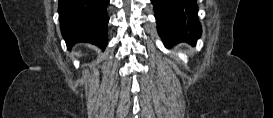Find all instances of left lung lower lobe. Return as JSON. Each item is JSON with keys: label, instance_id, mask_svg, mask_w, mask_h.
<instances>
[{"label": "left lung lower lobe", "instance_id": "0a47b994", "mask_svg": "<svg viewBox=\"0 0 273 118\" xmlns=\"http://www.w3.org/2000/svg\"><path fill=\"white\" fill-rule=\"evenodd\" d=\"M158 33L166 46L195 44L201 36L196 0H151Z\"/></svg>", "mask_w": 273, "mask_h": 118}]
</instances>
